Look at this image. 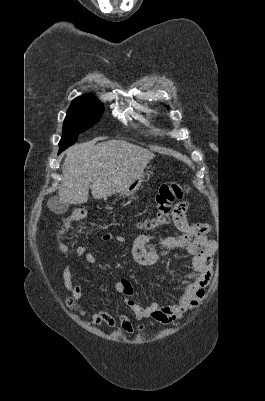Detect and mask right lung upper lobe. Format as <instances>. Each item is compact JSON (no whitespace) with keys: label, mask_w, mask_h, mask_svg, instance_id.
<instances>
[{"label":"right lung upper lobe","mask_w":265,"mask_h":401,"mask_svg":"<svg viewBox=\"0 0 265 401\" xmlns=\"http://www.w3.org/2000/svg\"><path fill=\"white\" fill-rule=\"evenodd\" d=\"M94 103H101V102H99V100H97L93 96L82 95L75 98L70 106L81 105V104H94Z\"/></svg>","instance_id":"cb5924a9"}]
</instances>
